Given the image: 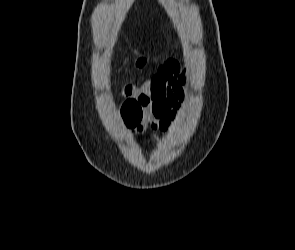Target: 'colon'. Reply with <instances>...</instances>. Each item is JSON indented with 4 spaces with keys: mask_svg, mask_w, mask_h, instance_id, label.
Wrapping results in <instances>:
<instances>
[{
    "mask_svg": "<svg viewBox=\"0 0 295 250\" xmlns=\"http://www.w3.org/2000/svg\"><path fill=\"white\" fill-rule=\"evenodd\" d=\"M146 59L145 58H138L136 60V66L142 67L145 65ZM121 114L124 119V122L129 127H135L142 121L143 118V109L140 103L134 99H127L122 107H121Z\"/></svg>",
    "mask_w": 295,
    "mask_h": 250,
    "instance_id": "1",
    "label": "colon"
}]
</instances>
